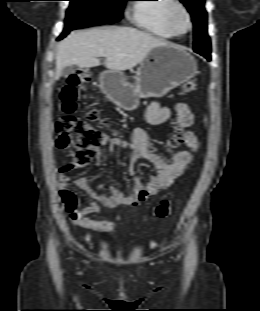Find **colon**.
Masks as SVG:
<instances>
[{"instance_id":"5ec220e1","label":"colon","mask_w":260,"mask_h":311,"mask_svg":"<svg viewBox=\"0 0 260 311\" xmlns=\"http://www.w3.org/2000/svg\"><path fill=\"white\" fill-rule=\"evenodd\" d=\"M90 81L88 70H79L71 75L62 88L61 101L62 109L67 113L56 125L58 137L56 146L60 149H71L74 151L75 162L81 165L89 163L97 156V149L102 144V132L91 123L99 120V113L96 109L87 111L86 119L75 116L78 102L83 95L86 84ZM197 84L194 80H188L183 85L185 93H194ZM185 142V133L177 130L170 138L168 144L177 147ZM170 212L169 200H162L154 210V220L165 219Z\"/></svg>"}]
</instances>
